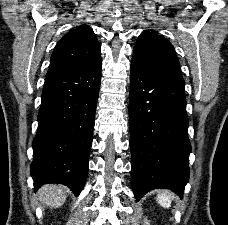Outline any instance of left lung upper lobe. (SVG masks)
<instances>
[{"label":"left lung upper lobe","mask_w":228,"mask_h":225,"mask_svg":"<svg viewBox=\"0 0 228 225\" xmlns=\"http://www.w3.org/2000/svg\"><path fill=\"white\" fill-rule=\"evenodd\" d=\"M133 55V62L152 73L183 78L174 47L154 30L141 33L133 49Z\"/></svg>","instance_id":"left-lung-upper-lobe-1"}]
</instances>
